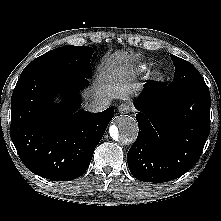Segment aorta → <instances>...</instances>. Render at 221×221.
<instances>
[{
  "label": "aorta",
  "mask_w": 221,
  "mask_h": 221,
  "mask_svg": "<svg viewBox=\"0 0 221 221\" xmlns=\"http://www.w3.org/2000/svg\"><path fill=\"white\" fill-rule=\"evenodd\" d=\"M109 133L113 140L129 144L138 135V124L133 117L122 115L117 117L115 122L110 126Z\"/></svg>",
  "instance_id": "aorta-1"
}]
</instances>
